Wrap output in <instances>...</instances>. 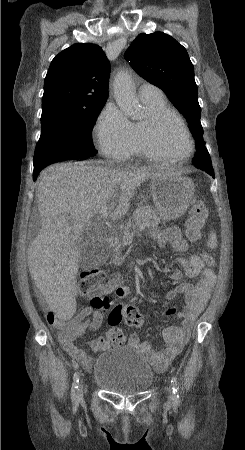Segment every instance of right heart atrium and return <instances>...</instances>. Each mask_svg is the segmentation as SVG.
Masks as SVG:
<instances>
[{
	"label": "right heart atrium",
	"mask_w": 245,
	"mask_h": 450,
	"mask_svg": "<svg viewBox=\"0 0 245 450\" xmlns=\"http://www.w3.org/2000/svg\"><path fill=\"white\" fill-rule=\"evenodd\" d=\"M94 137L98 149L108 158L124 161L134 153L133 123L114 103H108L99 115Z\"/></svg>",
	"instance_id": "right-heart-atrium-1"
}]
</instances>
